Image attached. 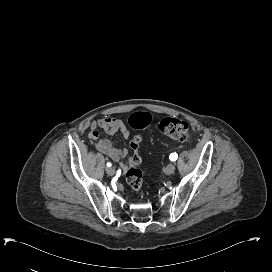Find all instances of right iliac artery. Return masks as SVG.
<instances>
[{
    "label": "right iliac artery",
    "mask_w": 272,
    "mask_h": 272,
    "mask_svg": "<svg viewBox=\"0 0 272 272\" xmlns=\"http://www.w3.org/2000/svg\"><path fill=\"white\" fill-rule=\"evenodd\" d=\"M111 165H112L111 163H109V162L107 163V166H108V167H110Z\"/></svg>",
    "instance_id": "1"
}]
</instances>
